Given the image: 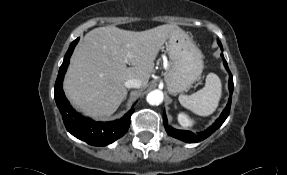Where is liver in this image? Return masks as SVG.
Instances as JSON below:
<instances>
[{"label": "liver", "instance_id": "liver-1", "mask_svg": "<svg viewBox=\"0 0 287 175\" xmlns=\"http://www.w3.org/2000/svg\"><path fill=\"white\" fill-rule=\"evenodd\" d=\"M181 31L174 24L140 32L115 26L91 30L71 57L64 80L68 99L88 116L112 115L127 95L125 81L136 78L146 86L163 44Z\"/></svg>", "mask_w": 287, "mask_h": 175}]
</instances>
